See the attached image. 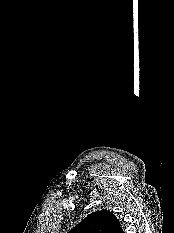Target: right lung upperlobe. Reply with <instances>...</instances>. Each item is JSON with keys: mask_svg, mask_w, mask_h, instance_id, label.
<instances>
[{"mask_svg": "<svg viewBox=\"0 0 174 233\" xmlns=\"http://www.w3.org/2000/svg\"><path fill=\"white\" fill-rule=\"evenodd\" d=\"M68 233H124L119 220L108 210L89 214Z\"/></svg>", "mask_w": 174, "mask_h": 233, "instance_id": "1", "label": "right lung upper lobe"}]
</instances>
